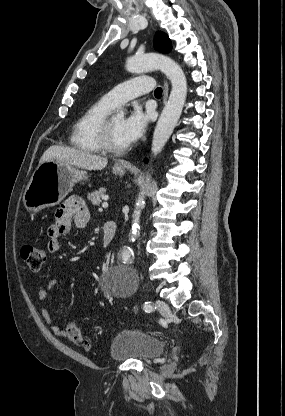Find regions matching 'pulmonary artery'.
Here are the masks:
<instances>
[{
  "label": "pulmonary artery",
  "mask_w": 285,
  "mask_h": 416,
  "mask_svg": "<svg viewBox=\"0 0 285 416\" xmlns=\"http://www.w3.org/2000/svg\"><path fill=\"white\" fill-rule=\"evenodd\" d=\"M153 84L154 80L150 76H138L112 87L103 95L102 100L110 107L117 106L121 101L133 102L136 96L148 93L153 88Z\"/></svg>",
  "instance_id": "obj_1"
}]
</instances>
